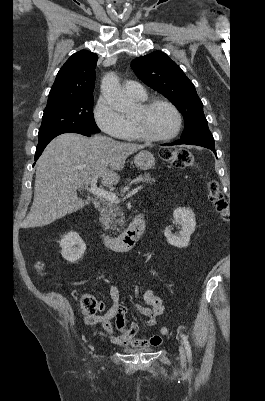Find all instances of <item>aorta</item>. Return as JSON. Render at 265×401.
Segmentation results:
<instances>
[{
    "mask_svg": "<svg viewBox=\"0 0 265 401\" xmlns=\"http://www.w3.org/2000/svg\"><path fill=\"white\" fill-rule=\"evenodd\" d=\"M101 92L109 104L119 112H126L128 100L122 90L118 76L114 72L104 74L101 82Z\"/></svg>",
    "mask_w": 265,
    "mask_h": 401,
    "instance_id": "obj_1",
    "label": "aorta"
}]
</instances>
